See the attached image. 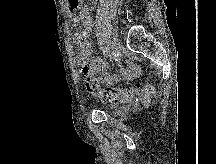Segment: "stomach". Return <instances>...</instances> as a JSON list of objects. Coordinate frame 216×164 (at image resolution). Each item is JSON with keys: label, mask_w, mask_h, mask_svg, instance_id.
Segmentation results:
<instances>
[{"label": "stomach", "mask_w": 216, "mask_h": 164, "mask_svg": "<svg viewBox=\"0 0 216 164\" xmlns=\"http://www.w3.org/2000/svg\"><path fill=\"white\" fill-rule=\"evenodd\" d=\"M83 0H66V4L70 10H76L81 7Z\"/></svg>", "instance_id": "stomach-1"}]
</instances>
